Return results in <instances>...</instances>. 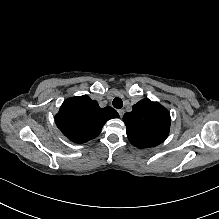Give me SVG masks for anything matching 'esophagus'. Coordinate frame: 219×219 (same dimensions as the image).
I'll return each instance as SVG.
<instances>
[{"label":"esophagus","instance_id":"34e87169","mask_svg":"<svg viewBox=\"0 0 219 219\" xmlns=\"http://www.w3.org/2000/svg\"><path fill=\"white\" fill-rule=\"evenodd\" d=\"M118 113H119V116L122 118L124 115V110L120 109V110H118Z\"/></svg>","mask_w":219,"mask_h":219}]
</instances>
